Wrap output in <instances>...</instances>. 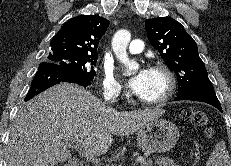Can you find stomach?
Returning <instances> with one entry per match:
<instances>
[{"label": "stomach", "instance_id": "0dacf381", "mask_svg": "<svg viewBox=\"0 0 231 166\" xmlns=\"http://www.w3.org/2000/svg\"><path fill=\"white\" fill-rule=\"evenodd\" d=\"M179 139V130L175 124L157 118L137 131L139 146L149 153H165L172 149Z\"/></svg>", "mask_w": 231, "mask_h": 166}]
</instances>
